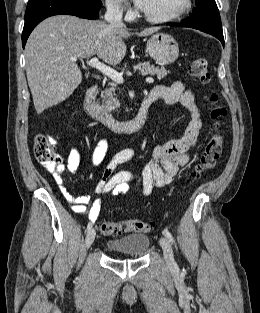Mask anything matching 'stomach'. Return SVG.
Returning <instances> with one entry per match:
<instances>
[{
	"instance_id": "obj_1",
	"label": "stomach",
	"mask_w": 260,
	"mask_h": 313,
	"mask_svg": "<svg viewBox=\"0 0 260 313\" xmlns=\"http://www.w3.org/2000/svg\"><path fill=\"white\" fill-rule=\"evenodd\" d=\"M146 51L159 64L173 63L179 56V47L175 39L166 33L153 35L146 44Z\"/></svg>"
}]
</instances>
